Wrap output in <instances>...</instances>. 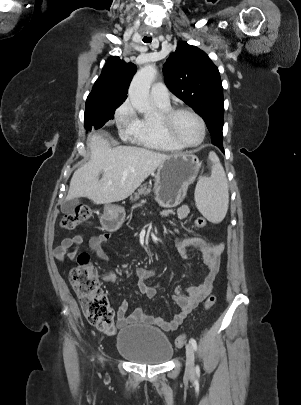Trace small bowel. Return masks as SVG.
Masks as SVG:
<instances>
[{
	"mask_svg": "<svg viewBox=\"0 0 301 405\" xmlns=\"http://www.w3.org/2000/svg\"><path fill=\"white\" fill-rule=\"evenodd\" d=\"M189 213V206L183 204L176 210L175 215L178 219H184ZM171 214V210H165L162 213V217L168 218ZM111 235L110 232H107L97 236H92L89 239L90 249L95 256L102 261H108L109 259L104 251V245L109 242ZM84 240L85 237L82 235L63 239L61 244L55 248L54 256L60 261H64L66 257L74 260L76 256V248ZM176 247L180 256L184 259L189 258L187 250L189 247L196 248L199 251L201 260L207 269L204 281L197 286H178L176 288L175 293L173 294V300L178 306L179 311L171 320H165L161 317L147 314L140 307L127 315L128 302L123 300L116 310L118 327H124L128 324L147 323L158 326L167 332L174 331L186 319L192 310L212 292L216 276L219 272L220 256L224 250V244L211 243L201 237H189L177 240ZM136 275L138 278L137 287L139 291L147 297L153 298L156 294V289L153 285L148 284V282L153 277L154 270L138 267L136 269ZM102 280L115 284L117 277L114 273L109 272L103 275Z\"/></svg>",
	"mask_w": 301,
	"mask_h": 405,
	"instance_id": "small-bowel-1",
	"label": "small bowel"
}]
</instances>
